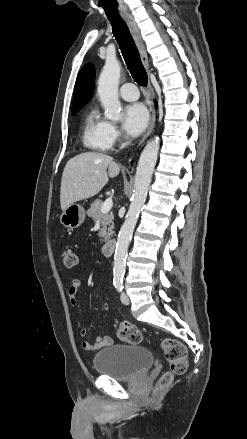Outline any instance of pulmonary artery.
<instances>
[{
    "mask_svg": "<svg viewBox=\"0 0 247 439\" xmlns=\"http://www.w3.org/2000/svg\"><path fill=\"white\" fill-rule=\"evenodd\" d=\"M120 95L127 101H135L139 97L138 89L132 83L123 84L120 88Z\"/></svg>",
    "mask_w": 247,
    "mask_h": 439,
    "instance_id": "pulmonary-artery-1",
    "label": "pulmonary artery"
}]
</instances>
